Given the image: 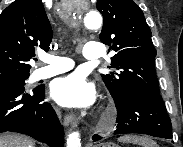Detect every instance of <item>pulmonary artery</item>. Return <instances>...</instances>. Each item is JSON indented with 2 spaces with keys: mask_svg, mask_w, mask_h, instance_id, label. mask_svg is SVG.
I'll list each match as a JSON object with an SVG mask.
<instances>
[{
  "mask_svg": "<svg viewBox=\"0 0 183 147\" xmlns=\"http://www.w3.org/2000/svg\"><path fill=\"white\" fill-rule=\"evenodd\" d=\"M100 51V44L95 42H88L82 48V54L87 59L100 58L102 56ZM42 61L46 63V66L35 70V80L46 79L69 71L74 67V63L71 59L56 55H45L42 57Z\"/></svg>",
  "mask_w": 183,
  "mask_h": 147,
  "instance_id": "e3ab8cb5",
  "label": "pulmonary artery"
}]
</instances>
